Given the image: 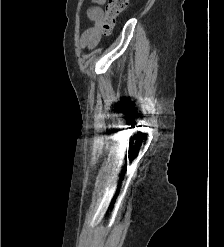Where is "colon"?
<instances>
[{"label":"colon","instance_id":"1","mask_svg":"<svg viewBox=\"0 0 224 247\" xmlns=\"http://www.w3.org/2000/svg\"><path fill=\"white\" fill-rule=\"evenodd\" d=\"M129 0H108L105 8V15L101 21L100 29L104 35H109L115 24L117 17L127 8Z\"/></svg>","mask_w":224,"mask_h":247}]
</instances>
